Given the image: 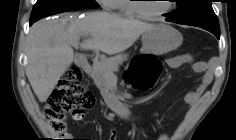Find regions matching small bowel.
<instances>
[{
  "instance_id": "c3829d8e",
  "label": "small bowel",
  "mask_w": 236,
  "mask_h": 140,
  "mask_svg": "<svg viewBox=\"0 0 236 140\" xmlns=\"http://www.w3.org/2000/svg\"><path fill=\"white\" fill-rule=\"evenodd\" d=\"M166 64L170 68H179L185 64H191L195 72L204 73L198 86L194 91H190L185 95L184 102L188 107V110H193L201 95L205 92L207 87L212 81L213 74L207 70V65L203 61H195L194 57L191 54H181L174 57H170L166 60ZM112 139H115L113 134ZM157 140H169L166 134H161Z\"/></svg>"
}]
</instances>
